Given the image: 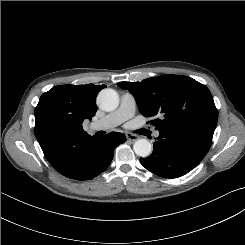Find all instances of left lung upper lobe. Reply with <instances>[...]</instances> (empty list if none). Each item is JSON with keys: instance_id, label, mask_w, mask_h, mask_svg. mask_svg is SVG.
I'll list each match as a JSON object with an SVG mask.
<instances>
[{"instance_id": "left-lung-upper-lobe-1", "label": "left lung upper lobe", "mask_w": 245, "mask_h": 245, "mask_svg": "<svg viewBox=\"0 0 245 245\" xmlns=\"http://www.w3.org/2000/svg\"><path fill=\"white\" fill-rule=\"evenodd\" d=\"M135 98L145 117L160 116L153 122L157 130L192 128L213 135L218 111L208 88L181 75H164L141 82H119Z\"/></svg>"}]
</instances>
